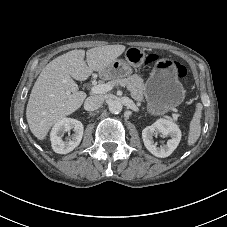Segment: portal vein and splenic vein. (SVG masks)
I'll list each match as a JSON object with an SVG mask.
<instances>
[{
    "label": "portal vein and splenic vein",
    "instance_id": "1",
    "mask_svg": "<svg viewBox=\"0 0 227 227\" xmlns=\"http://www.w3.org/2000/svg\"><path fill=\"white\" fill-rule=\"evenodd\" d=\"M113 86H111L109 83H104V84H97V85H94L92 88H91V91L92 93L94 94H103V93H106L110 90H112ZM128 88V87H127ZM129 89V88H128ZM130 90V89H129ZM172 119L174 121H177L178 120V115L175 114V113H172Z\"/></svg>",
    "mask_w": 227,
    "mask_h": 227
}]
</instances>
